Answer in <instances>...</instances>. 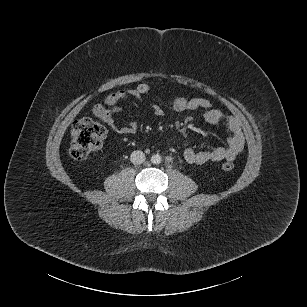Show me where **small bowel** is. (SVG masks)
Returning <instances> with one entry per match:
<instances>
[{
	"label": "small bowel",
	"instance_id": "obj_1",
	"mask_svg": "<svg viewBox=\"0 0 307 307\" xmlns=\"http://www.w3.org/2000/svg\"><path fill=\"white\" fill-rule=\"evenodd\" d=\"M150 92L147 84H140L132 89H124L107 94L104 97L105 107L102 104H96L93 107V114L105 123L111 130L118 134L129 135L137 131V124L128 122L120 124L117 121L123 113V108L118 105L121 100H130L134 105H138L142 97ZM171 109L176 113L188 110H202L204 119L212 125H224L230 132L226 146H219L212 150L195 151L188 148L184 151L186 162L195 165H202L209 161L219 162L222 160H234L244 149L245 138L242 128L238 121L225 112L212 107L211 102L206 98H176ZM151 110L154 115L161 116L163 111L160 107L153 105Z\"/></svg>",
	"mask_w": 307,
	"mask_h": 307
}]
</instances>
